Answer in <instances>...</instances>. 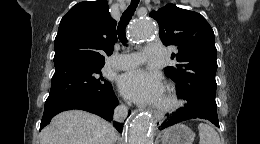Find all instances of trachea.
Listing matches in <instances>:
<instances>
[{
  "label": "trachea",
  "mask_w": 260,
  "mask_h": 144,
  "mask_svg": "<svg viewBox=\"0 0 260 144\" xmlns=\"http://www.w3.org/2000/svg\"><path fill=\"white\" fill-rule=\"evenodd\" d=\"M139 4V0H131L129 7L122 14L119 25H118V37L121 43L124 45L127 43L126 39V26L131 20V17L134 15V12Z\"/></svg>",
  "instance_id": "3493384b"
}]
</instances>
